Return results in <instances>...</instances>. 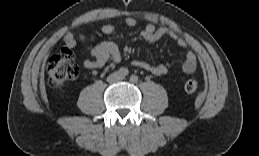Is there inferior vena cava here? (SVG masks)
I'll return each instance as SVG.
<instances>
[{
    "label": "inferior vena cava",
    "mask_w": 259,
    "mask_h": 156,
    "mask_svg": "<svg viewBox=\"0 0 259 156\" xmlns=\"http://www.w3.org/2000/svg\"><path fill=\"white\" fill-rule=\"evenodd\" d=\"M119 79H121V76L116 74L114 75V78L112 80H119Z\"/></svg>",
    "instance_id": "inferior-vena-cava-1"
}]
</instances>
